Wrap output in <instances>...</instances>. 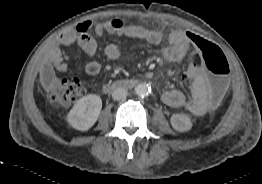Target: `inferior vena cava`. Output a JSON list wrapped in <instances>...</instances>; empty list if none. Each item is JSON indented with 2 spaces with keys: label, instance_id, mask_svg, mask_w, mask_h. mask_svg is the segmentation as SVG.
I'll list each match as a JSON object with an SVG mask.
<instances>
[{
  "label": "inferior vena cava",
  "instance_id": "inferior-vena-cava-1",
  "mask_svg": "<svg viewBox=\"0 0 262 184\" xmlns=\"http://www.w3.org/2000/svg\"><path fill=\"white\" fill-rule=\"evenodd\" d=\"M128 95V92L124 88H116L112 93V98L114 100H123Z\"/></svg>",
  "mask_w": 262,
  "mask_h": 184
}]
</instances>
